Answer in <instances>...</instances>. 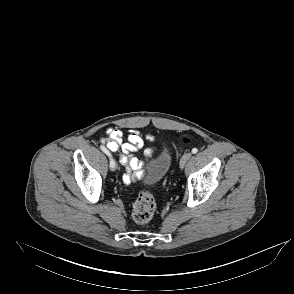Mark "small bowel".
<instances>
[{"instance_id":"small-bowel-1","label":"small bowel","mask_w":294,"mask_h":294,"mask_svg":"<svg viewBox=\"0 0 294 294\" xmlns=\"http://www.w3.org/2000/svg\"><path fill=\"white\" fill-rule=\"evenodd\" d=\"M106 138L102 139V143L112 152H118L120 163L126 167V173L123 176L125 184H130L143 176L141 170L143 162L134 157L132 154L144 145V140L139 130L129 129L126 137L124 133L117 128H108ZM146 139L153 142L154 137L147 135ZM154 147L145 150V155L149 158L155 153Z\"/></svg>"}]
</instances>
